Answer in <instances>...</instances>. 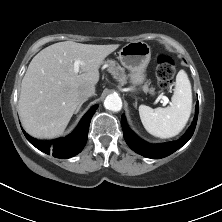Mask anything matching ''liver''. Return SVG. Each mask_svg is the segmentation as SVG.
Returning <instances> with one entry per match:
<instances>
[{
  "instance_id": "6515ba94",
  "label": "liver",
  "mask_w": 222,
  "mask_h": 222,
  "mask_svg": "<svg viewBox=\"0 0 222 222\" xmlns=\"http://www.w3.org/2000/svg\"><path fill=\"white\" fill-rule=\"evenodd\" d=\"M118 47L64 41L41 50L21 84L18 109L25 131L40 139L63 134L82 101L79 89L98 83L100 66ZM75 60L83 62L81 74L74 72Z\"/></svg>"
}]
</instances>
